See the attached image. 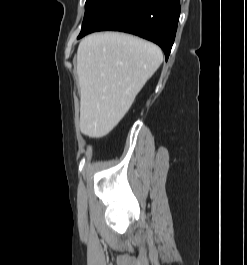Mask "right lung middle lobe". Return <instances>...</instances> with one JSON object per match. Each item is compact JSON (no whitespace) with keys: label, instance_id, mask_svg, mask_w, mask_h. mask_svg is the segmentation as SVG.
<instances>
[{"label":"right lung middle lobe","instance_id":"dd1d6c3e","mask_svg":"<svg viewBox=\"0 0 247 265\" xmlns=\"http://www.w3.org/2000/svg\"><path fill=\"white\" fill-rule=\"evenodd\" d=\"M99 1L100 0H86V4H85V16H84V18L92 11V9L96 6V4Z\"/></svg>","mask_w":247,"mask_h":265}]
</instances>
